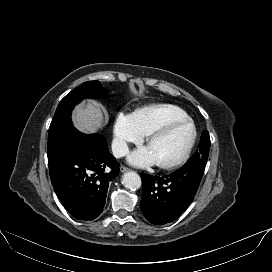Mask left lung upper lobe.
I'll use <instances>...</instances> for the list:
<instances>
[{
    "label": "left lung upper lobe",
    "instance_id": "1",
    "mask_svg": "<svg viewBox=\"0 0 272 272\" xmlns=\"http://www.w3.org/2000/svg\"><path fill=\"white\" fill-rule=\"evenodd\" d=\"M198 147L199 150L194 153V155L188 160L185 165L207 163L210 150V138L208 131H203Z\"/></svg>",
    "mask_w": 272,
    "mask_h": 272
}]
</instances>
